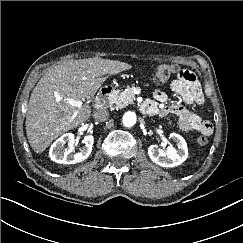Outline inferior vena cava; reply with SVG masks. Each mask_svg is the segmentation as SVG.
Wrapping results in <instances>:
<instances>
[{
    "instance_id": "602c4592",
    "label": "inferior vena cava",
    "mask_w": 243,
    "mask_h": 243,
    "mask_svg": "<svg viewBox=\"0 0 243 243\" xmlns=\"http://www.w3.org/2000/svg\"><path fill=\"white\" fill-rule=\"evenodd\" d=\"M93 117L97 121H105L109 117V111L105 108H99L94 111Z\"/></svg>"
}]
</instances>
